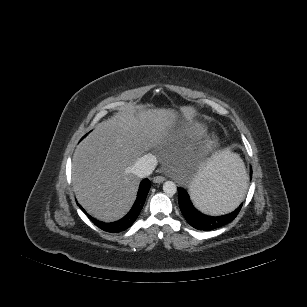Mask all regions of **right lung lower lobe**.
I'll list each match as a JSON object with an SVG mask.
<instances>
[{"instance_id": "1", "label": "right lung lower lobe", "mask_w": 307, "mask_h": 307, "mask_svg": "<svg viewBox=\"0 0 307 307\" xmlns=\"http://www.w3.org/2000/svg\"><path fill=\"white\" fill-rule=\"evenodd\" d=\"M149 189H150V181L149 179L146 178L142 180V182L140 183L137 199L133 207L128 212V214L119 221L112 222V223H105L102 221H98L92 218L91 216H88V217L97 227H99L100 229L104 231L111 232V233H117V232L124 231L127 228H129L134 223V221L137 219L141 209L143 208V205L145 203ZM80 208L82 209V211H84V209L81 206Z\"/></svg>"}]
</instances>
